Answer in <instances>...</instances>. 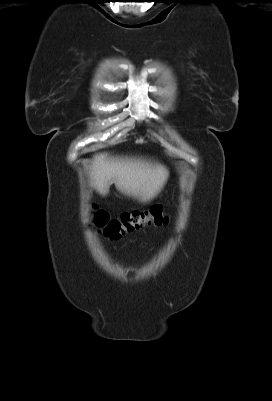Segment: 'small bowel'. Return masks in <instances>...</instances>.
<instances>
[{"mask_svg": "<svg viewBox=\"0 0 272 401\" xmlns=\"http://www.w3.org/2000/svg\"><path fill=\"white\" fill-rule=\"evenodd\" d=\"M127 270H128V271H130V272H132V271H133V269H132V268H127Z\"/></svg>", "mask_w": 272, "mask_h": 401, "instance_id": "1", "label": "small bowel"}]
</instances>
